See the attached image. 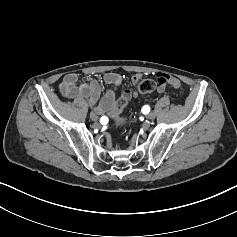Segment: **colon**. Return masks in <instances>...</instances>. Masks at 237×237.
I'll list each match as a JSON object with an SVG mask.
<instances>
[{
    "instance_id": "obj_1",
    "label": "colon",
    "mask_w": 237,
    "mask_h": 237,
    "mask_svg": "<svg viewBox=\"0 0 237 237\" xmlns=\"http://www.w3.org/2000/svg\"><path fill=\"white\" fill-rule=\"evenodd\" d=\"M156 81L159 85L169 84L173 87H178L180 85L179 81L165 73H158L156 75ZM156 87V82L152 79H143L137 85V90L140 94L151 93ZM127 105V98L121 97L114 104L111 117L115 125L121 126L125 123V118L121 115L122 111Z\"/></svg>"
}]
</instances>
